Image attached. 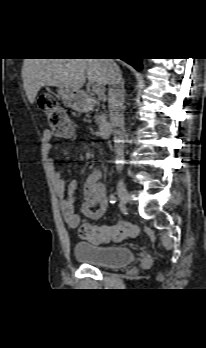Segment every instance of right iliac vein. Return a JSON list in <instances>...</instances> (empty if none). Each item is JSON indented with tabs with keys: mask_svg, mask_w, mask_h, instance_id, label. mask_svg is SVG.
Instances as JSON below:
<instances>
[{
	"mask_svg": "<svg viewBox=\"0 0 206 348\" xmlns=\"http://www.w3.org/2000/svg\"><path fill=\"white\" fill-rule=\"evenodd\" d=\"M117 193L122 204H126L129 201L130 194L122 180H119L117 183Z\"/></svg>",
	"mask_w": 206,
	"mask_h": 348,
	"instance_id": "right-iliac-vein-1",
	"label": "right iliac vein"
}]
</instances>
